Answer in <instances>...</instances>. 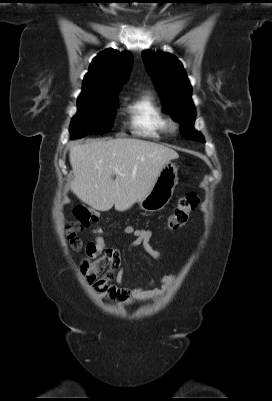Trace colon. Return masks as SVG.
I'll return each mask as SVG.
<instances>
[{
  "mask_svg": "<svg viewBox=\"0 0 272 401\" xmlns=\"http://www.w3.org/2000/svg\"><path fill=\"white\" fill-rule=\"evenodd\" d=\"M199 202L195 194H188L181 198L173 212L169 216L168 226L171 229L182 227L188 220L189 215L197 207ZM75 221L67 229V237L74 250H79L82 246L77 232L87 228L100 220V213L86 206L79 205L74 208Z\"/></svg>",
  "mask_w": 272,
  "mask_h": 401,
  "instance_id": "1",
  "label": "colon"
}]
</instances>
